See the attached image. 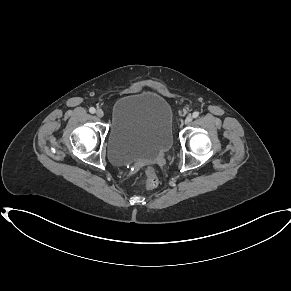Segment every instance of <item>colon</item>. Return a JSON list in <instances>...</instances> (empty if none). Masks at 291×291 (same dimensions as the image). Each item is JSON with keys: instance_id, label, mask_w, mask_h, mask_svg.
<instances>
[{"instance_id": "1", "label": "colon", "mask_w": 291, "mask_h": 291, "mask_svg": "<svg viewBox=\"0 0 291 291\" xmlns=\"http://www.w3.org/2000/svg\"><path fill=\"white\" fill-rule=\"evenodd\" d=\"M143 184L148 188H153L158 184V176L154 169L147 168L144 171Z\"/></svg>"}]
</instances>
